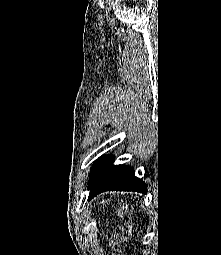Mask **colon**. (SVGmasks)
Listing matches in <instances>:
<instances>
[{"label": "colon", "mask_w": 221, "mask_h": 255, "mask_svg": "<svg viewBox=\"0 0 221 255\" xmlns=\"http://www.w3.org/2000/svg\"><path fill=\"white\" fill-rule=\"evenodd\" d=\"M116 214L124 219V223L120 228L113 232L110 236V248L113 255H122L121 244L127 241L132 233V218L128 206L119 203L114 206Z\"/></svg>", "instance_id": "1"}]
</instances>
